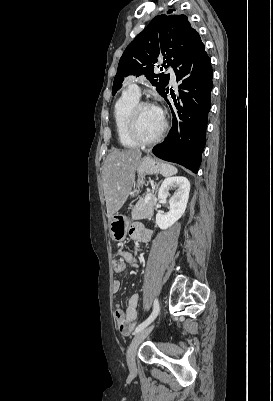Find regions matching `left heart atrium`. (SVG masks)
I'll return each instance as SVG.
<instances>
[{"mask_svg": "<svg viewBox=\"0 0 273 401\" xmlns=\"http://www.w3.org/2000/svg\"><path fill=\"white\" fill-rule=\"evenodd\" d=\"M154 110L156 111L157 115L163 120V112L160 108L155 107Z\"/></svg>", "mask_w": 273, "mask_h": 401, "instance_id": "left-heart-atrium-1", "label": "left heart atrium"}]
</instances>
